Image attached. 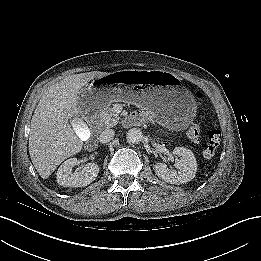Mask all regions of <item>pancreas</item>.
Returning <instances> with one entry per match:
<instances>
[{
    "mask_svg": "<svg viewBox=\"0 0 261 261\" xmlns=\"http://www.w3.org/2000/svg\"><path fill=\"white\" fill-rule=\"evenodd\" d=\"M99 125L104 128H111L118 124L119 116L112 107H107L99 115Z\"/></svg>",
    "mask_w": 261,
    "mask_h": 261,
    "instance_id": "pancreas-1",
    "label": "pancreas"
}]
</instances>
